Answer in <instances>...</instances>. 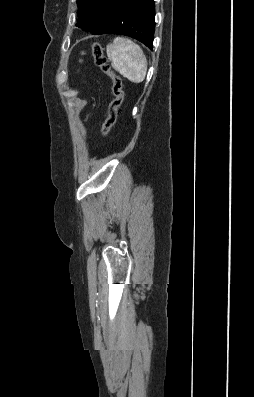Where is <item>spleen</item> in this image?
Here are the masks:
<instances>
[{"mask_svg": "<svg viewBox=\"0 0 254 397\" xmlns=\"http://www.w3.org/2000/svg\"><path fill=\"white\" fill-rule=\"evenodd\" d=\"M112 67L133 83L144 81L147 59L141 47L127 38L117 37L107 45Z\"/></svg>", "mask_w": 254, "mask_h": 397, "instance_id": "1", "label": "spleen"}]
</instances>
